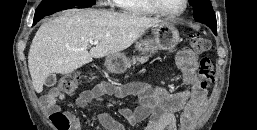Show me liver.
<instances>
[{"label":"liver","mask_w":257,"mask_h":130,"mask_svg":"<svg viewBox=\"0 0 257 130\" xmlns=\"http://www.w3.org/2000/svg\"><path fill=\"white\" fill-rule=\"evenodd\" d=\"M159 18L119 14L106 10L71 9L40 26L28 53V67L37 93L46 78L70 74L93 58L116 54L130 47ZM91 41L98 44L87 51Z\"/></svg>","instance_id":"obj_1"}]
</instances>
